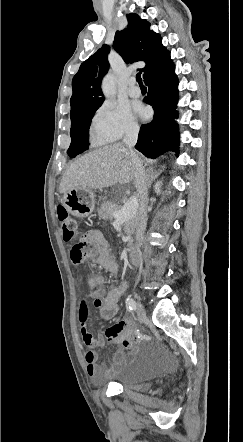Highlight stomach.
Here are the masks:
<instances>
[{"mask_svg": "<svg viewBox=\"0 0 243 442\" xmlns=\"http://www.w3.org/2000/svg\"><path fill=\"white\" fill-rule=\"evenodd\" d=\"M62 203L73 216L85 218L94 211V193L88 188H73L63 195Z\"/></svg>", "mask_w": 243, "mask_h": 442, "instance_id": "obj_1", "label": "stomach"}]
</instances>
